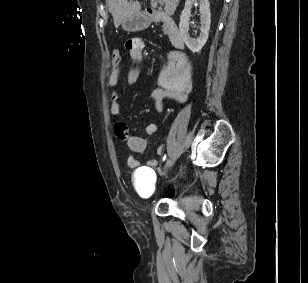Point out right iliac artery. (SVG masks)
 Masks as SVG:
<instances>
[{
	"label": "right iliac artery",
	"instance_id": "82829eb1",
	"mask_svg": "<svg viewBox=\"0 0 308 283\" xmlns=\"http://www.w3.org/2000/svg\"><path fill=\"white\" fill-rule=\"evenodd\" d=\"M166 160V155H164V157H163V161H165Z\"/></svg>",
	"mask_w": 308,
	"mask_h": 283
}]
</instances>
